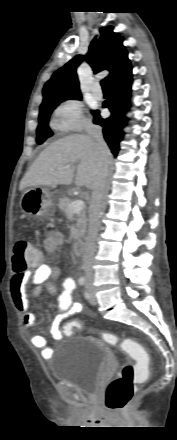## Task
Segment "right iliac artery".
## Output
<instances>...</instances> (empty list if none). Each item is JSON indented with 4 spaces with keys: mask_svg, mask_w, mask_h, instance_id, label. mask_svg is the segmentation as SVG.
<instances>
[{
    "mask_svg": "<svg viewBox=\"0 0 177 440\" xmlns=\"http://www.w3.org/2000/svg\"><path fill=\"white\" fill-rule=\"evenodd\" d=\"M78 283H79V285H84V283H85V277H80L79 278V280H78Z\"/></svg>",
    "mask_w": 177,
    "mask_h": 440,
    "instance_id": "1",
    "label": "right iliac artery"
}]
</instances>
